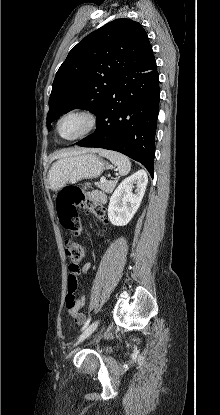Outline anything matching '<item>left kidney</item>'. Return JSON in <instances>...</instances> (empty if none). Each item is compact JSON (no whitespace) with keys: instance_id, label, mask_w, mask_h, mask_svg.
Returning a JSON list of instances; mask_svg holds the SVG:
<instances>
[{"instance_id":"obj_1","label":"left kidney","mask_w":220,"mask_h":415,"mask_svg":"<svg viewBox=\"0 0 220 415\" xmlns=\"http://www.w3.org/2000/svg\"><path fill=\"white\" fill-rule=\"evenodd\" d=\"M148 176L144 170H139L124 179L112 194L108 206V218L115 226L129 223L137 212L145 194ZM136 184L135 193L132 192Z\"/></svg>"}]
</instances>
